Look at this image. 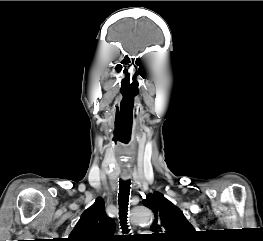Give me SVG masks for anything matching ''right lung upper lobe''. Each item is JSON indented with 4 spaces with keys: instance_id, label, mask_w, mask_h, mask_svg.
<instances>
[{
    "instance_id": "cb5924a9",
    "label": "right lung upper lobe",
    "mask_w": 263,
    "mask_h": 241,
    "mask_svg": "<svg viewBox=\"0 0 263 241\" xmlns=\"http://www.w3.org/2000/svg\"><path fill=\"white\" fill-rule=\"evenodd\" d=\"M114 221L105 213L102 198L85 210L67 241H113Z\"/></svg>"
}]
</instances>
